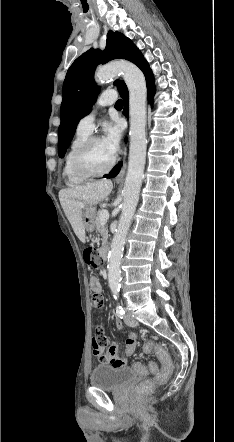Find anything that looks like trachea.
Returning <instances> with one entry per match:
<instances>
[{"mask_svg":"<svg viewBox=\"0 0 234 442\" xmlns=\"http://www.w3.org/2000/svg\"><path fill=\"white\" fill-rule=\"evenodd\" d=\"M115 107H123V101L121 99L117 100Z\"/></svg>","mask_w":234,"mask_h":442,"instance_id":"trachea-1","label":"trachea"}]
</instances>
